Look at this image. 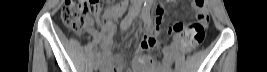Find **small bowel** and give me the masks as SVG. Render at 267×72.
I'll use <instances>...</instances> for the list:
<instances>
[{
	"instance_id": "small-bowel-1",
	"label": "small bowel",
	"mask_w": 267,
	"mask_h": 72,
	"mask_svg": "<svg viewBox=\"0 0 267 72\" xmlns=\"http://www.w3.org/2000/svg\"><path fill=\"white\" fill-rule=\"evenodd\" d=\"M204 9L207 12L205 5H204ZM125 10H126V4L117 5L113 7L111 13L107 14L106 17L117 16L120 13L124 12ZM163 12H164L163 7L159 6L157 9V15H158L157 22L159 24L161 22V17H162ZM106 22L108 21H106L105 19H100L98 21L97 29L89 28V32L92 33L97 38V40L100 42V49H101V54L103 58L108 57L112 49V45L110 42L111 36L109 35L110 30L112 28L106 29V26H105ZM176 23H181V22H176ZM169 32L175 33L176 36H175L174 42L169 47H167V54L162 59L160 66H158L157 62L152 57L143 56V53L145 51H147L150 48L156 47V39L154 37H144L142 39L141 43L139 44L137 53L135 55L134 63L143 64L145 67L141 69H146L147 71L135 70L136 72H167L168 71L169 67L172 65V62H173L172 54L177 52L179 46L181 45V43H183V37H181L177 32H175L173 27L172 29H170ZM105 69H108L109 71H113V69L108 66H106ZM120 69L121 67L118 66L115 68V71H120Z\"/></svg>"
}]
</instances>
